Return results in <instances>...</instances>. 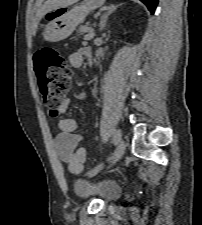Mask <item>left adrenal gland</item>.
Returning <instances> with one entry per match:
<instances>
[{
	"label": "left adrenal gland",
	"instance_id": "obj_1",
	"mask_svg": "<svg viewBox=\"0 0 202 225\" xmlns=\"http://www.w3.org/2000/svg\"><path fill=\"white\" fill-rule=\"evenodd\" d=\"M118 6H115V5H110L108 8H107V11L101 16V19H100V31H102L105 26H106V22H107V19L108 17L114 12L116 11Z\"/></svg>",
	"mask_w": 202,
	"mask_h": 225
}]
</instances>
